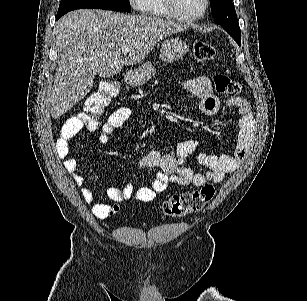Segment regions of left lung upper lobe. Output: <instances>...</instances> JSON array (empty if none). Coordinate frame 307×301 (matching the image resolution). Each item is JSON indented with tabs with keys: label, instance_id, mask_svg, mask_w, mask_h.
<instances>
[{
	"label": "left lung upper lobe",
	"instance_id": "1",
	"mask_svg": "<svg viewBox=\"0 0 307 301\" xmlns=\"http://www.w3.org/2000/svg\"><path fill=\"white\" fill-rule=\"evenodd\" d=\"M215 23L222 25L228 34L240 45L241 34L235 7L231 0H210Z\"/></svg>",
	"mask_w": 307,
	"mask_h": 301
}]
</instances>
